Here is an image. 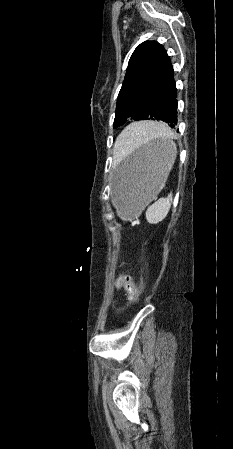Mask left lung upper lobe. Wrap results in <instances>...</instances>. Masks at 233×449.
I'll list each match as a JSON object with an SVG mask.
<instances>
[{
  "label": "left lung upper lobe",
  "mask_w": 233,
  "mask_h": 449,
  "mask_svg": "<svg viewBox=\"0 0 233 449\" xmlns=\"http://www.w3.org/2000/svg\"><path fill=\"white\" fill-rule=\"evenodd\" d=\"M173 75L170 57L161 44L146 41L138 45L131 55L118 95L113 127L130 119H147L150 104Z\"/></svg>",
  "instance_id": "obj_1"
}]
</instances>
